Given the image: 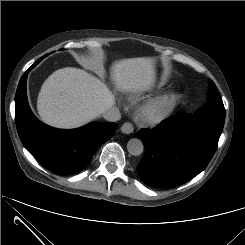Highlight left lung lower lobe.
<instances>
[{
  "mask_svg": "<svg viewBox=\"0 0 245 245\" xmlns=\"http://www.w3.org/2000/svg\"><path fill=\"white\" fill-rule=\"evenodd\" d=\"M224 121L205 115L180 114L159 126L141 129L145 154L137 172L152 187L175 188L202 172L213 157Z\"/></svg>",
  "mask_w": 245,
  "mask_h": 245,
  "instance_id": "0a47b994",
  "label": "left lung lower lobe"
}]
</instances>
